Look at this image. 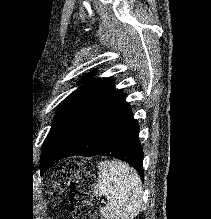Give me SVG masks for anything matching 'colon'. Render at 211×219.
Wrapping results in <instances>:
<instances>
[{
  "label": "colon",
  "mask_w": 211,
  "mask_h": 219,
  "mask_svg": "<svg viewBox=\"0 0 211 219\" xmlns=\"http://www.w3.org/2000/svg\"><path fill=\"white\" fill-rule=\"evenodd\" d=\"M67 183L73 219H102L90 200V191L94 183L91 163L87 161L61 163L52 177L48 192L54 198H60Z\"/></svg>",
  "instance_id": "obj_1"
}]
</instances>
